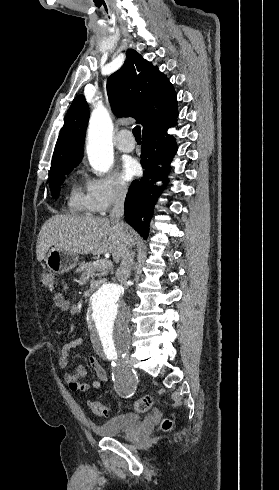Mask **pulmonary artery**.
<instances>
[{
	"mask_svg": "<svg viewBox=\"0 0 279 490\" xmlns=\"http://www.w3.org/2000/svg\"><path fill=\"white\" fill-rule=\"evenodd\" d=\"M117 134L119 136L115 138L117 148L124 153L132 152L136 145V138L129 137V128H119Z\"/></svg>",
	"mask_w": 279,
	"mask_h": 490,
	"instance_id": "pulmonary-artery-1",
	"label": "pulmonary artery"
}]
</instances>
